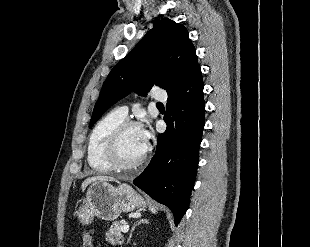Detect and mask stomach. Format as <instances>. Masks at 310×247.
Here are the masks:
<instances>
[{
    "label": "stomach",
    "instance_id": "0dacf381",
    "mask_svg": "<svg viewBox=\"0 0 310 247\" xmlns=\"http://www.w3.org/2000/svg\"><path fill=\"white\" fill-rule=\"evenodd\" d=\"M145 206L144 198L128 184L114 187L106 181H96L88 187L85 199L74 214L79 223L88 225L94 217L114 221L122 212Z\"/></svg>",
    "mask_w": 310,
    "mask_h": 247
}]
</instances>
